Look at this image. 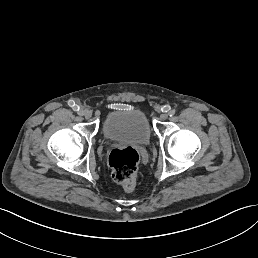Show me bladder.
<instances>
[{
	"label": "bladder",
	"mask_w": 258,
	"mask_h": 258,
	"mask_svg": "<svg viewBox=\"0 0 258 258\" xmlns=\"http://www.w3.org/2000/svg\"><path fill=\"white\" fill-rule=\"evenodd\" d=\"M103 135L109 141L141 146L149 142L151 129L144 112L127 107L113 110L106 116Z\"/></svg>",
	"instance_id": "31cf9c89"
}]
</instances>
